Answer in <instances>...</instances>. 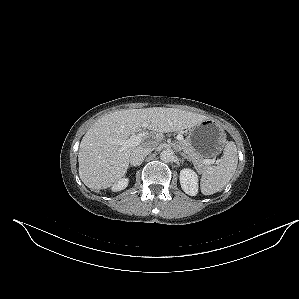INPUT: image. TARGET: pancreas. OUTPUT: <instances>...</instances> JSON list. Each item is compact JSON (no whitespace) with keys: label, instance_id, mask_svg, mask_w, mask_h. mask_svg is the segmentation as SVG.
<instances>
[{"label":"pancreas","instance_id":"1","mask_svg":"<svg viewBox=\"0 0 299 299\" xmlns=\"http://www.w3.org/2000/svg\"><path fill=\"white\" fill-rule=\"evenodd\" d=\"M179 145L198 171H202L206 167V164L203 163V157L191 146L188 140L180 141Z\"/></svg>","mask_w":299,"mask_h":299}]
</instances>
